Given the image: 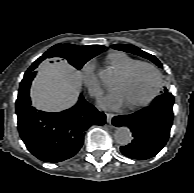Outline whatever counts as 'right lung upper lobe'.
Segmentation results:
<instances>
[{
    "label": "right lung upper lobe",
    "mask_w": 194,
    "mask_h": 193,
    "mask_svg": "<svg viewBox=\"0 0 194 193\" xmlns=\"http://www.w3.org/2000/svg\"><path fill=\"white\" fill-rule=\"evenodd\" d=\"M104 49L102 45L77 46L72 44H57L51 47L43 56L38 58L26 71L24 76V83L30 84L35 77L36 69L43 60L49 62L56 61V57H63L65 52H77L83 55H97ZM65 59V58H64Z\"/></svg>",
    "instance_id": "1"
}]
</instances>
